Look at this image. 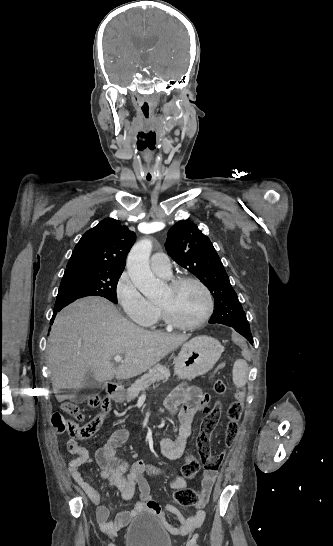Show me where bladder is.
Here are the masks:
<instances>
[{
  "label": "bladder",
  "instance_id": "obj_1",
  "mask_svg": "<svg viewBox=\"0 0 333 546\" xmlns=\"http://www.w3.org/2000/svg\"><path fill=\"white\" fill-rule=\"evenodd\" d=\"M127 546H172V540L157 517L152 514L137 516L126 534Z\"/></svg>",
  "mask_w": 333,
  "mask_h": 546
}]
</instances>
